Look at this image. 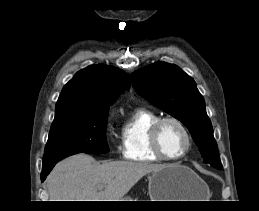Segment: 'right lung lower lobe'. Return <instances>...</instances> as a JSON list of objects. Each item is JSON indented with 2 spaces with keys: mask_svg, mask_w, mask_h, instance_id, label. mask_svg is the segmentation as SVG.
I'll return each mask as SVG.
<instances>
[{
  "mask_svg": "<svg viewBox=\"0 0 259 211\" xmlns=\"http://www.w3.org/2000/svg\"><path fill=\"white\" fill-rule=\"evenodd\" d=\"M57 162L47 165V166H43L42 168V173H41V181H44L46 176L49 174V172L52 170V168L55 166Z\"/></svg>",
  "mask_w": 259,
  "mask_h": 211,
  "instance_id": "right-lung-lower-lobe-1",
  "label": "right lung lower lobe"
}]
</instances>
